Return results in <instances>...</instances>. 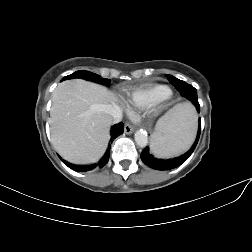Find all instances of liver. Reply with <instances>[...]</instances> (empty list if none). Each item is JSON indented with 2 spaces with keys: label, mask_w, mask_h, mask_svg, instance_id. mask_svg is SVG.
<instances>
[{
  "label": "liver",
  "mask_w": 252,
  "mask_h": 252,
  "mask_svg": "<svg viewBox=\"0 0 252 252\" xmlns=\"http://www.w3.org/2000/svg\"><path fill=\"white\" fill-rule=\"evenodd\" d=\"M115 102V95L101 85L81 79L60 83L53 92L49 121L56 151L74 164L96 162L110 139L112 117L106 106H117Z\"/></svg>",
  "instance_id": "liver-1"
}]
</instances>
